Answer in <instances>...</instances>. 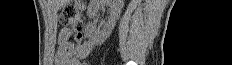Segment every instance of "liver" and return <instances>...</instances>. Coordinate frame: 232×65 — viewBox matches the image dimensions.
Returning <instances> with one entry per match:
<instances>
[{
  "label": "liver",
  "mask_w": 232,
  "mask_h": 65,
  "mask_svg": "<svg viewBox=\"0 0 232 65\" xmlns=\"http://www.w3.org/2000/svg\"><path fill=\"white\" fill-rule=\"evenodd\" d=\"M69 0H50V3H55L57 7H61L63 4L67 3Z\"/></svg>",
  "instance_id": "obj_1"
}]
</instances>
